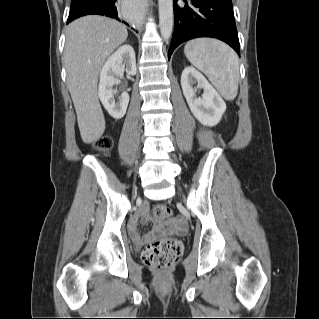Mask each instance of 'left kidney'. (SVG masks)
I'll return each instance as SVG.
<instances>
[{
    "label": "left kidney",
    "instance_id": "1",
    "mask_svg": "<svg viewBox=\"0 0 319 319\" xmlns=\"http://www.w3.org/2000/svg\"><path fill=\"white\" fill-rule=\"evenodd\" d=\"M197 83V87H193ZM181 87L188 106L195 118L206 126H215L226 110V104L206 78L194 67H186L181 75ZM197 88L203 89L197 97Z\"/></svg>",
    "mask_w": 319,
    "mask_h": 319
}]
</instances>
